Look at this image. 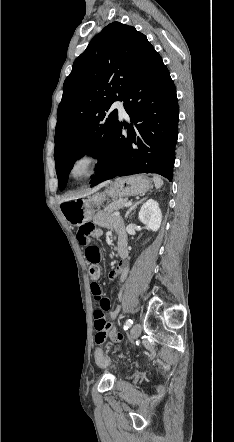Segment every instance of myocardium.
Segmentation results:
<instances>
[{"label": "myocardium", "mask_w": 234, "mask_h": 442, "mask_svg": "<svg viewBox=\"0 0 234 442\" xmlns=\"http://www.w3.org/2000/svg\"><path fill=\"white\" fill-rule=\"evenodd\" d=\"M83 160L87 162V172L81 177H76L73 174L74 166L78 162ZM102 162H103V153L99 148L97 147L83 148L82 150L77 152L70 160L68 165V175L70 179L79 183H83L95 175V173L98 171L99 167L101 166Z\"/></svg>", "instance_id": "f54148a6"}]
</instances>
